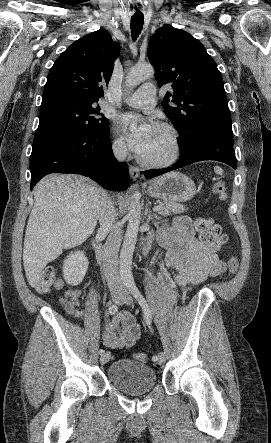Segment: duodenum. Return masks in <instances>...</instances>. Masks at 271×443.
<instances>
[{
  "label": "duodenum",
  "instance_id": "obj_1",
  "mask_svg": "<svg viewBox=\"0 0 271 443\" xmlns=\"http://www.w3.org/2000/svg\"><path fill=\"white\" fill-rule=\"evenodd\" d=\"M95 250L98 260L102 263L105 270H110L115 259V245L113 242L106 244L96 243Z\"/></svg>",
  "mask_w": 271,
  "mask_h": 443
}]
</instances>
